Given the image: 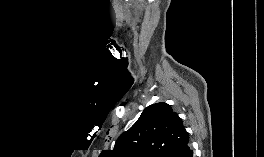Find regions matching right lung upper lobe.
<instances>
[{
    "label": "right lung upper lobe",
    "instance_id": "obj_1",
    "mask_svg": "<svg viewBox=\"0 0 264 157\" xmlns=\"http://www.w3.org/2000/svg\"><path fill=\"white\" fill-rule=\"evenodd\" d=\"M189 142L182 119L164 102L145 108L117 139L109 157H174Z\"/></svg>",
    "mask_w": 264,
    "mask_h": 157
}]
</instances>
